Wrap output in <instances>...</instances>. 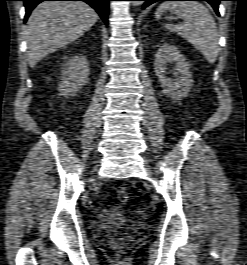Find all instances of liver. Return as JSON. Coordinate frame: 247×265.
Returning <instances> with one entry per match:
<instances>
[{"label": "liver", "instance_id": "1", "mask_svg": "<svg viewBox=\"0 0 247 265\" xmlns=\"http://www.w3.org/2000/svg\"><path fill=\"white\" fill-rule=\"evenodd\" d=\"M98 20V14L80 1L40 3L25 27L27 57L31 67L50 53L83 36Z\"/></svg>", "mask_w": 247, "mask_h": 265}]
</instances>
